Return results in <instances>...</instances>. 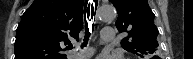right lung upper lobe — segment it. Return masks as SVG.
Wrapping results in <instances>:
<instances>
[{
	"instance_id": "right-lung-upper-lobe-1",
	"label": "right lung upper lobe",
	"mask_w": 193,
	"mask_h": 59,
	"mask_svg": "<svg viewBox=\"0 0 193 59\" xmlns=\"http://www.w3.org/2000/svg\"><path fill=\"white\" fill-rule=\"evenodd\" d=\"M84 0H35L17 28L15 59H66L61 51L78 39Z\"/></svg>"
}]
</instances>
